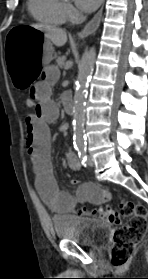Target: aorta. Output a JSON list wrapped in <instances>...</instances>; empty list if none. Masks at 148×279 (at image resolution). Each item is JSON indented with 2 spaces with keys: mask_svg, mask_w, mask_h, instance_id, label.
Here are the masks:
<instances>
[{
  "mask_svg": "<svg viewBox=\"0 0 148 279\" xmlns=\"http://www.w3.org/2000/svg\"><path fill=\"white\" fill-rule=\"evenodd\" d=\"M95 57L96 51L94 48L86 51L82 60V64L79 67L78 79L73 100L74 143L77 146L85 145V101L87 98L88 81L94 70Z\"/></svg>",
  "mask_w": 148,
  "mask_h": 279,
  "instance_id": "aorta-1",
  "label": "aorta"
}]
</instances>
